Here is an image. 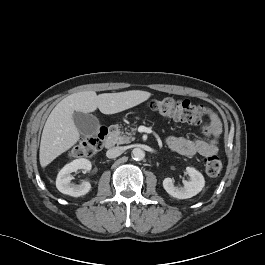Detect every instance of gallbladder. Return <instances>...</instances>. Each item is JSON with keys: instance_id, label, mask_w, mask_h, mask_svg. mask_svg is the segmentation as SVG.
Listing matches in <instances>:
<instances>
[{"instance_id": "1", "label": "gallbladder", "mask_w": 265, "mask_h": 265, "mask_svg": "<svg viewBox=\"0 0 265 265\" xmlns=\"http://www.w3.org/2000/svg\"><path fill=\"white\" fill-rule=\"evenodd\" d=\"M74 123L83 136H94L98 133L100 123L97 117L82 112L73 113Z\"/></svg>"}]
</instances>
